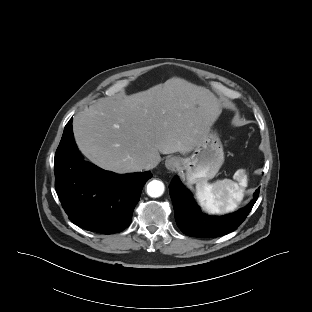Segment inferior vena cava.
<instances>
[{"mask_svg":"<svg viewBox=\"0 0 312 312\" xmlns=\"http://www.w3.org/2000/svg\"><path fill=\"white\" fill-rule=\"evenodd\" d=\"M158 165V162L155 160H146L143 164V169L145 170H151L155 168Z\"/></svg>","mask_w":312,"mask_h":312,"instance_id":"602c4592","label":"inferior vena cava"}]
</instances>
